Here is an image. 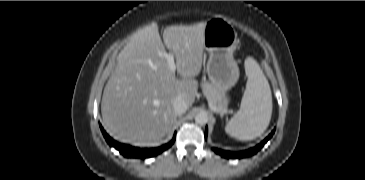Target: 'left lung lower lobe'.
Returning a JSON list of instances; mask_svg holds the SVG:
<instances>
[{
	"label": "left lung lower lobe",
	"mask_w": 365,
	"mask_h": 180,
	"mask_svg": "<svg viewBox=\"0 0 365 180\" xmlns=\"http://www.w3.org/2000/svg\"><path fill=\"white\" fill-rule=\"evenodd\" d=\"M273 134H274V130L260 144H258L257 146H255V147H253L251 149H248V150H245V151H242V152H229V151H224V150H220V149H214V151L217 154H219V155H221V156H223L225 158H243V157H248V156H251V155L256 154L265 145V143L272 137ZM205 137H207V128H206V131H205Z\"/></svg>",
	"instance_id": "obj_1"
}]
</instances>
